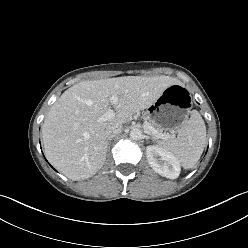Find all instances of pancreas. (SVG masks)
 I'll use <instances>...</instances> for the list:
<instances>
[{"instance_id":"cf45deb5","label":"pancreas","mask_w":248,"mask_h":248,"mask_svg":"<svg viewBox=\"0 0 248 248\" xmlns=\"http://www.w3.org/2000/svg\"><path fill=\"white\" fill-rule=\"evenodd\" d=\"M149 124H150V126H152L158 133H161V134H164L163 133V130L162 129H160V128H158L154 123H152V122H148ZM151 133V132H150ZM154 137H156V138H158L157 137V134H153V133H151Z\"/></svg>"}]
</instances>
